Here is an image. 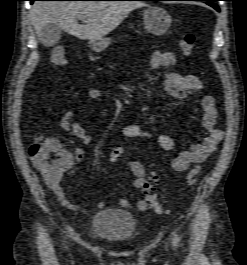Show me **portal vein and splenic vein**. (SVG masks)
I'll list each match as a JSON object with an SVG mask.
<instances>
[{"label": "portal vein and splenic vein", "mask_w": 247, "mask_h": 265, "mask_svg": "<svg viewBox=\"0 0 247 265\" xmlns=\"http://www.w3.org/2000/svg\"><path fill=\"white\" fill-rule=\"evenodd\" d=\"M81 20H86V18L84 16L80 17Z\"/></svg>", "instance_id": "portal-vein-and-splenic-vein-1"}]
</instances>
